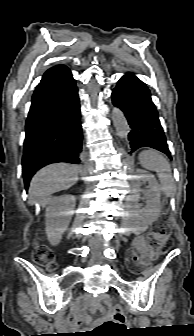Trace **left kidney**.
<instances>
[{
  "mask_svg": "<svg viewBox=\"0 0 194 336\" xmlns=\"http://www.w3.org/2000/svg\"><path fill=\"white\" fill-rule=\"evenodd\" d=\"M132 194L128 196L127 201L130 208V218L134 227L138 231H145L157 220L161 212V187L159 186L155 176L144 170H137V174L132 177ZM148 183V190L145 193L146 207L140 209L138 204L141 185Z\"/></svg>",
  "mask_w": 194,
  "mask_h": 336,
  "instance_id": "left-kidney-1",
  "label": "left kidney"
}]
</instances>
